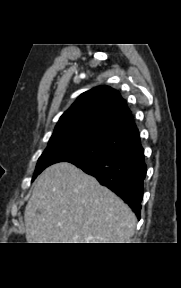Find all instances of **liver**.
Segmentation results:
<instances>
[{
	"instance_id": "6515ba94",
	"label": "liver",
	"mask_w": 181,
	"mask_h": 288,
	"mask_svg": "<svg viewBox=\"0 0 181 288\" xmlns=\"http://www.w3.org/2000/svg\"><path fill=\"white\" fill-rule=\"evenodd\" d=\"M24 220L28 243H126L137 221L117 195L68 162L40 174Z\"/></svg>"
}]
</instances>
